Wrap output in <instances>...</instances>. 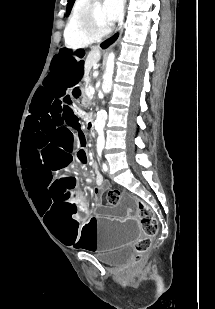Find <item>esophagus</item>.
Masks as SVG:
<instances>
[{"label":"esophagus","mask_w":215,"mask_h":309,"mask_svg":"<svg viewBox=\"0 0 215 309\" xmlns=\"http://www.w3.org/2000/svg\"><path fill=\"white\" fill-rule=\"evenodd\" d=\"M123 32L122 24L120 27L116 30V32L108 38H105V40H102L98 44V47L101 48L102 50H109L113 45H115L121 38Z\"/></svg>","instance_id":"esophagus-1"}]
</instances>
